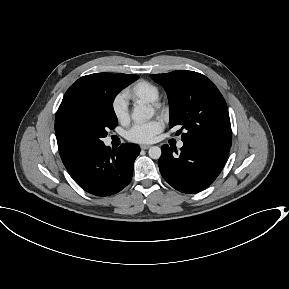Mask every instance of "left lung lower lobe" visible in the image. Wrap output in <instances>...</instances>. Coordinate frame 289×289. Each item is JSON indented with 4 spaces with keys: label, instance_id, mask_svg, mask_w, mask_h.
<instances>
[{
    "label": "left lung lower lobe",
    "instance_id": "1",
    "mask_svg": "<svg viewBox=\"0 0 289 289\" xmlns=\"http://www.w3.org/2000/svg\"><path fill=\"white\" fill-rule=\"evenodd\" d=\"M183 143L179 153L176 148L163 145L159 169L163 178L176 190L197 193L220 174L230 148L196 141Z\"/></svg>",
    "mask_w": 289,
    "mask_h": 289
}]
</instances>
